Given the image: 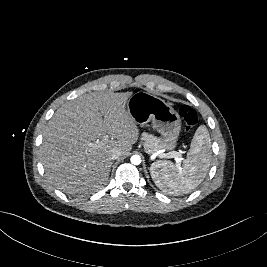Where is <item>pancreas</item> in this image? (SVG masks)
I'll return each instance as SVG.
<instances>
[{
    "instance_id": "pancreas-1",
    "label": "pancreas",
    "mask_w": 267,
    "mask_h": 267,
    "mask_svg": "<svg viewBox=\"0 0 267 267\" xmlns=\"http://www.w3.org/2000/svg\"><path fill=\"white\" fill-rule=\"evenodd\" d=\"M142 142L144 145L145 152L152 155L162 149V142L161 139L153 136L144 134L142 136Z\"/></svg>"
}]
</instances>
